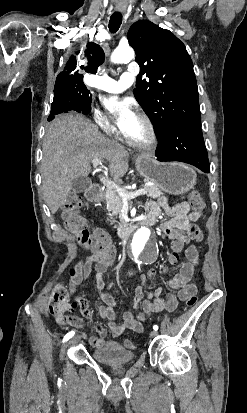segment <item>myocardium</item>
Returning <instances> with one entry per match:
<instances>
[{
    "instance_id": "1",
    "label": "myocardium",
    "mask_w": 247,
    "mask_h": 413,
    "mask_svg": "<svg viewBox=\"0 0 247 413\" xmlns=\"http://www.w3.org/2000/svg\"><path fill=\"white\" fill-rule=\"evenodd\" d=\"M142 121L149 128V132H150L149 137L146 140L137 141V140H133L129 138L128 136H125V141L131 147L138 148V149H149L158 144L159 131L156 128L154 122L148 116H143Z\"/></svg>"
}]
</instances>
